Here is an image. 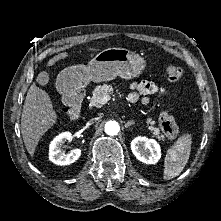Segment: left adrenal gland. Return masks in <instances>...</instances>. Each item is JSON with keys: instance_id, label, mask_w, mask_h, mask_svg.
Here are the masks:
<instances>
[{"instance_id": "obj_1", "label": "left adrenal gland", "mask_w": 221, "mask_h": 221, "mask_svg": "<svg viewBox=\"0 0 221 221\" xmlns=\"http://www.w3.org/2000/svg\"><path fill=\"white\" fill-rule=\"evenodd\" d=\"M135 124V122L133 121V120H129L127 123H125V128H128L129 126H132V125H134Z\"/></svg>"}]
</instances>
